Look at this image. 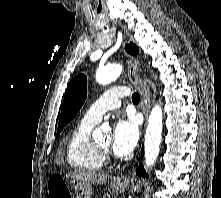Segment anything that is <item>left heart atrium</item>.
Returning <instances> with one entry per match:
<instances>
[{"label":"left heart atrium","mask_w":221,"mask_h":198,"mask_svg":"<svg viewBox=\"0 0 221 198\" xmlns=\"http://www.w3.org/2000/svg\"><path fill=\"white\" fill-rule=\"evenodd\" d=\"M139 128L134 118L118 120L113 129L112 149L119 156L128 155L136 146Z\"/></svg>","instance_id":"obj_1"}]
</instances>
